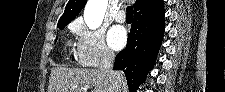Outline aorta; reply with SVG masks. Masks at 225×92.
Segmentation results:
<instances>
[{
    "instance_id": "1",
    "label": "aorta",
    "mask_w": 225,
    "mask_h": 92,
    "mask_svg": "<svg viewBox=\"0 0 225 92\" xmlns=\"http://www.w3.org/2000/svg\"><path fill=\"white\" fill-rule=\"evenodd\" d=\"M107 5V0H88L84 9V21L90 29L95 30L101 26Z\"/></svg>"
}]
</instances>
